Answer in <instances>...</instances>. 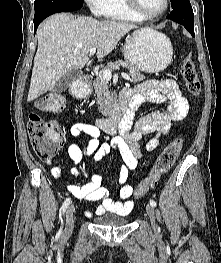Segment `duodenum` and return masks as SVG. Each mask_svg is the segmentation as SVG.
<instances>
[{"label":"duodenum","instance_id":"410a0bca","mask_svg":"<svg viewBox=\"0 0 221 263\" xmlns=\"http://www.w3.org/2000/svg\"><path fill=\"white\" fill-rule=\"evenodd\" d=\"M91 75L85 76V81L91 79ZM72 93L75 97L81 96V89L75 85L72 87ZM139 106L131 101V97L128 93L122 91L118 96V106L113 116L102 119L99 122V127L106 133L113 134L118 129L126 128L130 125L133 119L134 112Z\"/></svg>","mask_w":221,"mask_h":263}]
</instances>
